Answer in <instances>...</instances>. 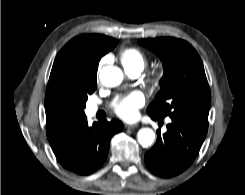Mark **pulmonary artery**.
Listing matches in <instances>:
<instances>
[{
  "instance_id": "1",
  "label": "pulmonary artery",
  "mask_w": 245,
  "mask_h": 195,
  "mask_svg": "<svg viewBox=\"0 0 245 195\" xmlns=\"http://www.w3.org/2000/svg\"><path fill=\"white\" fill-rule=\"evenodd\" d=\"M126 73L132 77V78H137L140 74H141V71L140 70H131V71H126ZM88 110L91 114H94L97 112L98 110V107L97 105H94V104H91L89 107H88Z\"/></svg>"
}]
</instances>
